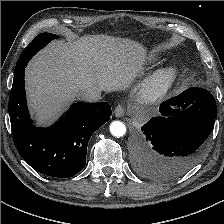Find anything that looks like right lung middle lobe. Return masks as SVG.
<instances>
[{"label": "right lung middle lobe", "mask_w": 224, "mask_h": 224, "mask_svg": "<svg viewBox=\"0 0 224 224\" xmlns=\"http://www.w3.org/2000/svg\"><path fill=\"white\" fill-rule=\"evenodd\" d=\"M56 38H58V36L51 33H41L37 35L21 53L15 69L19 68V65L24 60V58H32V56L35 55L40 49L45 47L51 40Z\"/></svg>", "instance_id": "right-lung-middle-lobe-1"}]
</instances>
